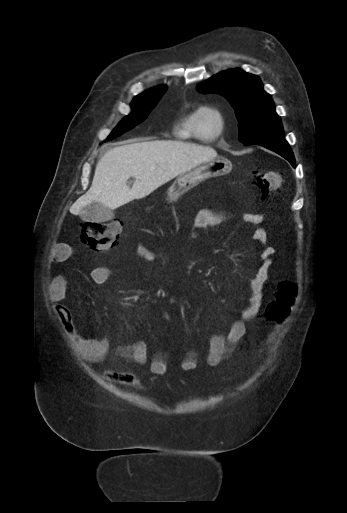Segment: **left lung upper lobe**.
<instances>
[{
	"label": "left lung upper lobe",
	"mask_w": 347,
	"mask_h": 513,
	"mask_svg": "<svg viewBox=\"0 0 347 513\" xmlns=\"http://www.w3.org/2000/svg\"><path fill=\"white\" fill-rule=\"evenodd\" d=\"M202 93L225 96L239 121V141L245 145L284 139L280 117L259 77L240 69L216 74L197 87Z\"/></svg>",
	"instance_id": "1"
}]
</instances>
